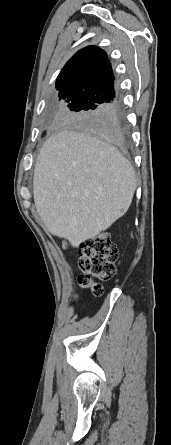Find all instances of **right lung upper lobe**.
<instances>
[{
    "label": "right lung upper lobe",
    "mask_w": 171,
    "mask_h": 445,
    "mask_svg": "<svg viewBox=\"0 0 171 445\" xmlns=\"http://www.w3.org/2000/svg\"><path fill=\"white\" fill-rule=\"evenodd\" d=\"M56 89L59 94L78 92L99 96L105 102L118 99L107 54L96 46L79 50L65 64L57 77Z\"/></svg>",
    "instance_id": "cb5924a9"
}]
</instances>
